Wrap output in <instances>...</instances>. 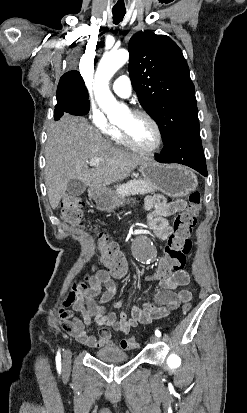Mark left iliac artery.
<instances>
[{"mask_svg": "<svg viewBox=\"0 0 247 413\" xmlns=\"http://www.w3.org/2000/svg\"><path fill=\"white\" fill-rule=\"evenodd\" d=\"M155 335H156L157 337H160V336H161V332H160L159 330H156V331H155Z\"/></svg>", "mask_w": 247, "mask_h": 413, "instance_id": "obj_1", "label": "left iliac artery"}]
</instances>
